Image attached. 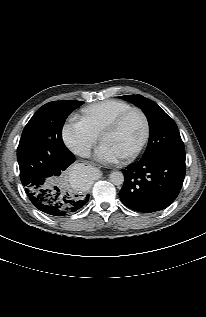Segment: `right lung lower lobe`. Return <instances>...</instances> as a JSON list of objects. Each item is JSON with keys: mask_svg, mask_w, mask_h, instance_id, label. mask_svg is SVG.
I'll list each match as a JSON object with an SVG mask.
<instances>
[{"mask_svg": "<svg viewBox=\"0 0 206 317\" xmlns=\"http://www.w3.org/2000/svg\"><path fill=\"white\" fill-rule=\"evenodd\" d=\"M75 161V156L69 151L61 154L56 166L61 170ZM25 186V192L32 204L40 211L53 216H65L81 209L89 200V194L78 195L68 192L62 185L55 184L49 177H41L30 181Z\"/></svg>", "mask_w": 206, "mask_h": 317, "instance_id": "1", "label": "right lung lower lobe"}]
</instances>
